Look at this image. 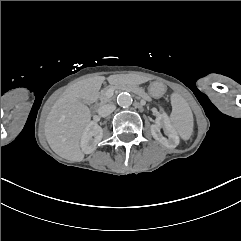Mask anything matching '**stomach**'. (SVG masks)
Masks as SVG:
<instances>
[{
    "instance_id": "1",
    "label": "stomach",
    "mask_w": 241,
    "mask_h": 241,
    "mask_svg": "<svg viewBox=\"0 0 241 241\" xmlns=\"http://www.w3.org/2000/svg\"><path fill=\"white\" fill-rule=\"evenodd\" d=\"M150 96L154 98L162 97L166 92V86L162 82L154 81L148 87Z\"/></svg>"
}]
</instances>
